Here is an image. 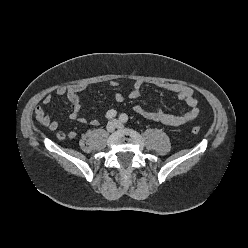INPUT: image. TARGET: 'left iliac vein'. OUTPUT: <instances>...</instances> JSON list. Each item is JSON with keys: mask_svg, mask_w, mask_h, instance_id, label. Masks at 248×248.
<instances>
[{"mask_svg": "<svg viewBox=\"0 0 248 248\" xmlns=\"http://www.w3.org/2000/svg\"><path fill=\"white\" fill-rule=\"evenodd\" d=\"M117 123V128H123V124L120 123L119 121H115Z\"/></svg>", "mask_w": 248, "mask_h": 248, "instance_id": "left-iliac-vein-1", "label": "left iliac vein"}]
</instances>
